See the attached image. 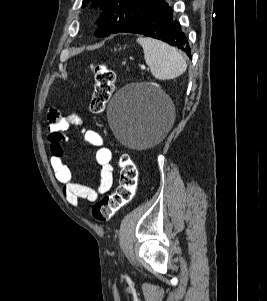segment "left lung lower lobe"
Here are the masks:
<instances>
[{
    "instance_id": "obj_1",
    "label": "left lung lower lobe",
    "mask_w": 267,
    "mask_h": 301,
    "mask_svg": "<svg viewBox=\"0 0 267 301\" xmlns=\"http://www.w3.org/2000/svg\"><path fill=\"white\" fill-rule=\"evenodd\" d=\"M119 32L142 34L165 41L192 58L187 38L174 18L171 6L164 0L148 10L137 21L124 26Z\"/></svg>"
}]
</instances>
